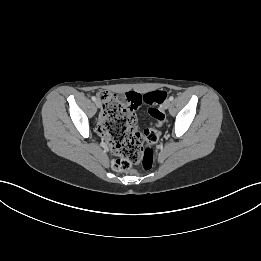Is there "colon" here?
Segmentation results:
<instances>
[{
  "instance_id": "1",
  "label": "colon",
  "mask_w": 261,
  "mask_h": 261,
  "mask_svg": "<svg viewBox=\"0 0 261 261\" xmlns=\"http://www.w3.org/2000/svg\"><path fill=\"white\" fill-rule=\"evenodd\" d=\"M166 95V92L161 90L152 91L143 96L129 93L123 101L109 91L98 93L103 107L99 128L100 132L110 140L112 152L115 155L111 165L115 171L125 172L134 164H140L145 170L152 167L153 145L158 141L159 132L154 126L146 129L145 134L139 132L135 127L133 111L142 102L150 105L160 104ZM149 114L158 124L167 120L163 108H151Z\"/></svg>"
}]
</instances>
